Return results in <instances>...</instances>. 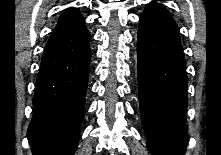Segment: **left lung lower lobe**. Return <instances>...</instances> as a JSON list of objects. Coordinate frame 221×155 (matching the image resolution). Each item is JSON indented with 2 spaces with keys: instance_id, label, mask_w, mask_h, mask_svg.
<instances>
[{
  "instance_id": "1",
  "label": "left lung lower lobe",
  "mask_w": 221,
  "mask_h": 155,
  "mask_svg": "<svg viewBox=\"0 0 221 155\" xmlns=\"http://www.w3.org/2000/svg\"><path fill=\"white\" fill-rule=\"evenodd\" d=\"M137 69L140 114L151 155H184L186 61L179 29L157 2L149 3L139 20Z\"/></svg>"
}]
</instances>
